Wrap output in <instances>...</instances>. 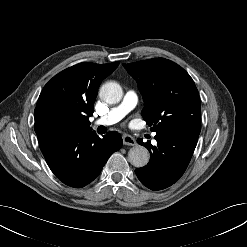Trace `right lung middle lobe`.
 <instances>
[{"label":"right lung middle lobe","mask_w":247,"mask_h":247,"mask_svg":"<svg viewBox=\"0 0 247 247\" xmlns=\"http://www.w3.org/2000/svg\"><path fill=\"white\" fill-rule=\"evenodd\" d=\"M73 129H75L74 125L67 122V121H58V122L54 123L50 128L51 131H54V130H73Z\"/></svg>","instance_id":"obj_1"}]
</instances>
